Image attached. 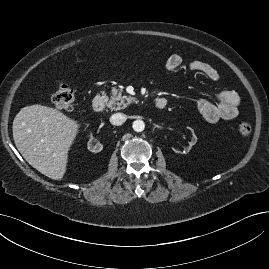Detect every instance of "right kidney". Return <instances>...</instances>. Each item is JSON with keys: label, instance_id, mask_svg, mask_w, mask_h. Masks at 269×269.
I'll use <instances>...</instances> for the list:
<instances>
[{"label": "right kidney", "instance_id": "right-kidney-1", "mask_svg": "<svg viewBox=\"0 0 269 269\" xmlns=\"http://www.w3.org/2000/svg\"><path fill=\"white\" fill-rule=\"evenodd\" d=\"M96 141L95 137H92L91 140L88 142V149L92 152H100L103 149V146L101 144H94Z\"/></svg>", "mask_w": 269, "mask_h": 269}]
</instances>
